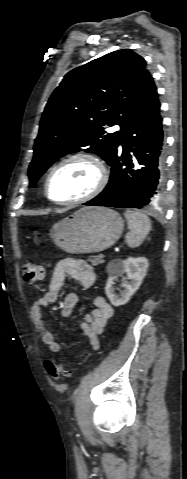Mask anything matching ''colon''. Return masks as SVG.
<instances>
[{
    "instance_id": "colon-1",
    "label": "colon",
    "mask_w": 187,
    "mask_h": 479,
    "mask_svg": "<svg viewBox=\"0 0 187 479\" xmlns=\"http://www.w3.org/2000/svg\"><path fill=\"white\" fill-rule=\"evenodd\" d=\"M23 280L28 285L37 283L43 277V267L32 260L25 259L21 263ZM45 368L50 377L54 380H60L70 376L65 365L61 361L54 359L45 361Z\"/></svg>"
}]
</instances>
